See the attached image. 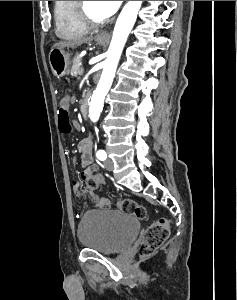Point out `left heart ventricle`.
<instances>
[{
  "label": "left heart ventricle",
  "instance_id": "b2bd125f",
  "mask_svg": "<svg viewBox=\"0 0 237 300\" xmlns=\"http://www.w3.org/2000/svg\"><path fill=\"white\" fill-rule=\"evenodd\" d=\"M85 6L88 13L95 19L103 20L109 17L104 11L101 1H85Z\"/></svg>",
  "mask_w": 237,
  "mask_h": 300
}]
</instances>
